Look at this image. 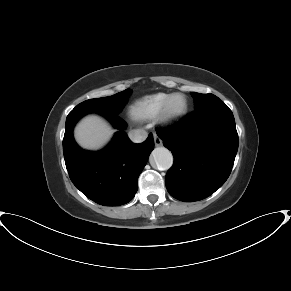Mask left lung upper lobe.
Segmentation results:
<instances>
[{
    "mask_svg": "<svg viewBox=\"0 0 291 291\" xmlns=\"http://www.w3.org/2000/svg\"><path fill=\"white\" fill-rule=\"evenodd\" d=\"M191 95L194 98L195 111L206 108L216 102L221 101L213 94H200L192 92Z\"/></svg>",
    "mask_w": 291,
    "mask_h": 291,
    "instance_id": "left-lung-upper-lobe-1",
    "label": "left lung upper lobe"
}]
</instances>
